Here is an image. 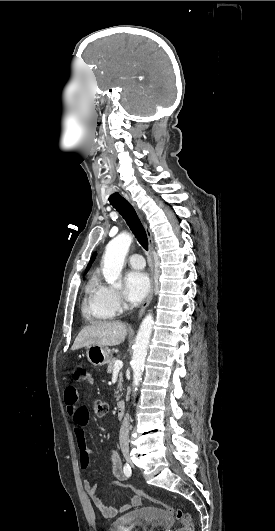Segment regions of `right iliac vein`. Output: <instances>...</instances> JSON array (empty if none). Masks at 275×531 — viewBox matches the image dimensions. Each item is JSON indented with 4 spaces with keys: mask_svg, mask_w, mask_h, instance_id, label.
Wrapping results in <instances>:
<instances>
[{
    "mask_svg": "<svg viewBox=\"0 0 275 531\" xmlns=\"http://www.w3.org/2000/svg\"><path fill=\"white\" fill-rule=\"evenodd\" d=\"M124 457H125V459H126L127 462H130V457H129L128 454H124Z\"/></svg>",
    "mask_w": 275,
    "mask_h": 531,
    "instance_id": "obj_1",
    "label": "right iliac vein"
}]
</instances>
